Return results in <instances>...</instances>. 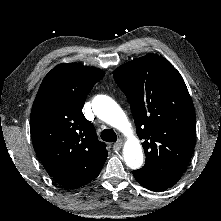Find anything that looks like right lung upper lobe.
Instances as JSON below:
<instances>
[{"instance_id": "obj_1", "label": "right lung upper lobe", "mask_w": 221, "mask_h": 221, "mask_svg": "<svg viewBox=\"0 0 221 221\" xmlns=\"http://www.w3.org/2000/svg\"><path fill=\"white\" fill-rule=\"evenodd\" d=\"M104 76L80 63H62L44 78L33 103L30 130L34 149L47 172L67 188L88 184L108 156L82 108L87 94Z\"/></svg>"}]
</instances>
